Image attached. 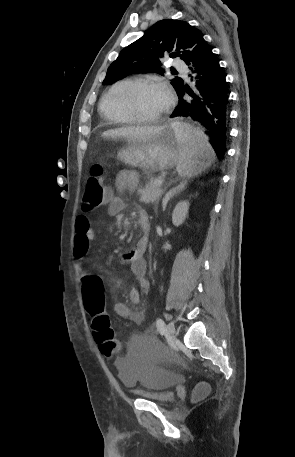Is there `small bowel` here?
I'll list each match as a JSON object with an SVG mask.
<instances>
[{"label":"small bowel","instance_id":"obj_1","mask_svg":"<svg viewBox=\"0 0 295 457\" xmlns=\"http://www.w3.org/2000/svg\"><path fill=\"white\" fill-rule=\"evenodd\" d=\"M116 188L118 191H133L138 185V178L135 173L130 171H122L116 178ZM125 207L124 200L118 195H110L108 201V213L112 216H119ZM139 223L142 227L144 222L149 227V219L146 212L142 209L138 211ZM76 234L74 240V262L73 269L76 277L82 283H84L91 277H97L85 273L83 269L82 260L87 256L90 244L94 239V230L91 225V221L88 216L81 214L76 218ZM148 243V232L144 233L141 239L136 244L135 248L125 253L121 257V261L128 264L131 272L137 280V286H135L130 292V301L132 304H138L140 301V294L148 293L150 291V283L146 279V262L144 260V253ZM114 312L121 317L130 319L133 322H139L141 320L140 315L133 311L126 303L116 302L113 305ZM143 342H151L146 339ZM117 345L119 343L115 342ZM140 342H132L129 345H139ZM121 346V345H120Z\"/></svg>","mask_w":295,"mask_h":457}]
</instances>
